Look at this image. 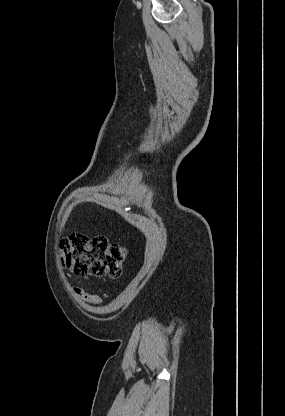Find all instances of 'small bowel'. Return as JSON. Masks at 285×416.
I'll list each match as a JSON object with an SVG mask.
<instances>
[{
  "label": "small bowel",
  "mask_w": 285,
  "mask_h": 416,
  "mask_svg": "<svg viewBox=\"0 0 285 416\" xmlns=\"http://www.w3.org/2000/svg\"><path fill=\"white\" fill-rule=\"evenodd\" d=\"M76 294L82 298L83 300L93 304V305H100L102 302V299L100 296L96 294H92L89 292H86L82 289H76Z\"/></svg>",
  "instance_id": "c3829d8e"
}]
</instances>
